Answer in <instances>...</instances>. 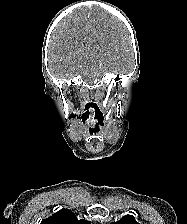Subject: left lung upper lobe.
Here are the masks:
<instances>
[{"instance_id":"obj_1","label":"left lung upper lobe","mask_w":187,"mask_h":224,"mask_svg":"<svg viewBox=\"0 0 187 224\" xmlns=\"http://www.w3.org/2000/svg\"><path fill=\"white\" fill-rule=\"evenodd\" d=\"M111 224H139L132 215H125L119 221Z\"/></svg>"}]
</instances>
